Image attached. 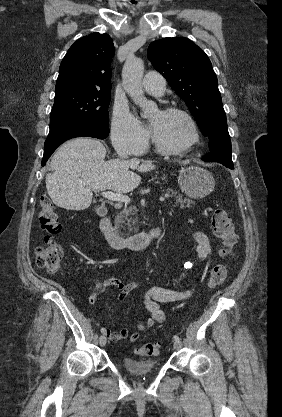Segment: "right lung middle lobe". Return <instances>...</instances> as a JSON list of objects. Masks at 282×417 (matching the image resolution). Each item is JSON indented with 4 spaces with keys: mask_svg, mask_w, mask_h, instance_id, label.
I'll return each instance as SVG.
<instances>
[{
    "mask_svg": "<svg viewBox=\"0 0 282 417\" xmlns=\"http://www.w3.org/2000/svg\"><path fill=\"white\" fill-rule=\"evenodd\" d=\"M110 97V91L95 89L56 92L50 116V129L68 123L84 122L109 133Z\"/></svg>",
    "mask_w": 282,
    "mask_h": 417,
    "instance_id": "obj_1",
    "label": "right lung middle lobe"
}]
</instances>
